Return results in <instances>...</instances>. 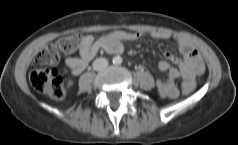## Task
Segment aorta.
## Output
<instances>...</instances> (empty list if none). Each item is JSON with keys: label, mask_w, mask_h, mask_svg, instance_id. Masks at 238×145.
<instances>
[{"label": "aorta", "mask_w": 238, "mask_h": 145, "mask_svg": "<svg viewBox=\"0 0 238 145\" xmlns=\"http://www.w3.org/2000/svg\"><path fill=\"white\" fill-rule=\"evenodd\" d=\"M113 62H114L115 64H121V63H122V58L119 57V56H117V57H115V58L113 59Z\"/></svg>", "instance_id": "obj_1"}]
</instances>
